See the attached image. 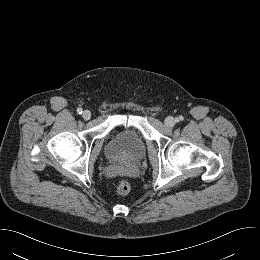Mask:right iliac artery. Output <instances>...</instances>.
I'll return each mask as SVG.
<instances>
[{
  "label": "right iliac artery",
  "mask_w": 260,
  "mask_h": 260,
  "mask_svg": "<svg viewBox=\"0 0 260 260\" xmlns=\"http://www.w3.org/2000/svg\"><path fill=\"white\" fill-rule=\"evenodd\" d=\"M82 112H83L82 108H78V109H77V113H78V114H82Z\"/></svg>",
  "instance_id": "1"
}]
</instances>
